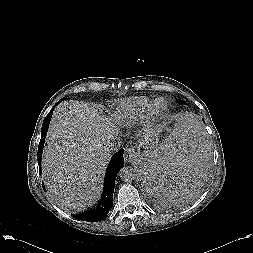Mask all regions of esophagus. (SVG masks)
Wrapping results in <instances>:
<instances>
[{
  "label": "esophagus",
  "mask_w": 253,
  "mask_h": 253,
  "mask_svg": "<svg viewBox=\"0 0 253 253\" xmlns=\"http://www.w3.org/2000/svg\"><path fill=\"white\" fill-rule=\"evenodd\" d=\"M124 159L126 162H133L136 159V151L133 147L125 148Z\"/></svg>",
  "instance_id": "obj_1"
}]
</instances>
